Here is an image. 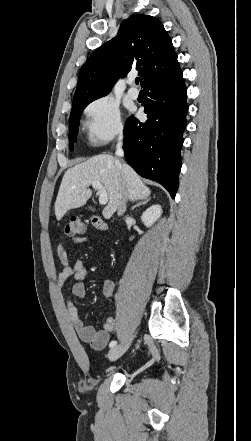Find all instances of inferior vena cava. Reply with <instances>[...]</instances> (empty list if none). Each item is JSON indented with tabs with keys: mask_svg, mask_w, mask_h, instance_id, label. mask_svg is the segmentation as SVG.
<instances>
[{
	"mask_svg": "<svg viewBox=\"0 0 251 441\" xmlns=\"http://www.w3.org/2000/svg\"><path fill=\"white\" fill-rule=\"evenodd\" d=\"M121 136L119 137V144L117 145V148H116V155L118 156V157H123L124 156V152H123V150L121 149V147H120V145H121ZM126 200H127V196H126V192H125V190L123 191V196H122V199H121V201H120V203H119V206H118V215H123V213L126 211Z\"/></svg>",
	"mask_w": 251,
	"mask_h": 441,
	"instance_id": "602c4592",
	"label": "inferior vena cava"
}]
</instances>
